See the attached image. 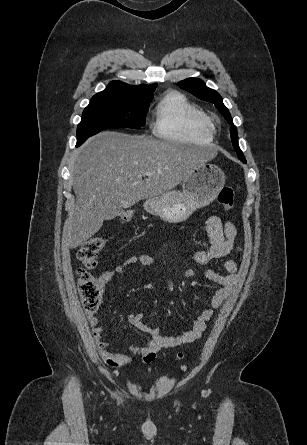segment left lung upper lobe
<instances>
[{
  "instance_id": "5c2ea615",
  "label": "left lung upper lobe",
  "mask_w": 307,
  "mask_h": 445,
  "mask_svg": "<svg viewBox=\"0 0 307 445\" xmlns=\"http://www.w3.org/2000/svg\"><path fill=\"white\" fill-rule=\"evenodd\" d=\"M178 85L189 92H191L196 97L214 103L215 107L219 110V112L225 117V119L228 121L229 124L232 125L231 127V139L234 146V149L237 152V155L239 159L246 163L245 157L242 153V151L239 148L238 145V136H237V129L233 124L231 115L228 111V109L225 107V105L222 102L221 96L215 91L208 87H206L205 83L198 78H188L183 81H180Z\"/></svg>"
}]
</instances>
